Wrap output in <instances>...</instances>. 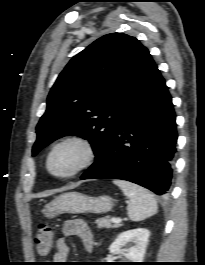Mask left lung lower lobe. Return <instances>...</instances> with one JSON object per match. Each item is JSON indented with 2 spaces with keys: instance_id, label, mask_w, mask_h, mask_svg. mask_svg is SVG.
<instances>
[{
  "instance_id": "0a47b994",
  "label": "left lung lower lobe",
  "mask_w": 205,
  "mask_h": 265,
  "mask_svg": "<svg viewBox=\"0 0 205 265\" xmlns=\"http://www.w3.org/2000/svg\"><path fill=\"white\" fill-rule=\"evenodd\" d=\"M171 96L157 66L122 113L105 149L81 179L113 178L167 194L176 152Z\"/></svg>"
}]
</instances>
